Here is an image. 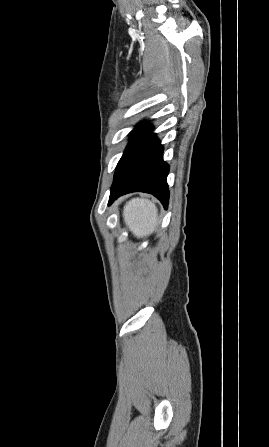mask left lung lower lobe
I'll use <instances>...</instances> for the list:
<instances>
[{"instance_id":"0a47b994","label":"left lung lower lobe","mask_w":269,"mask_h":447,"mask_svg":"<svg viewBox=\"0 0 269 447\" xmlns=\"http://www.w3.org/2000/svg\"><path fill=\"white\" fill-rule=\"evenodd\" d=\"M168 172L169 166L163 161V147L155 135L150 133L131 152L115 175L109 205L121 195L141 191L153 194L167 209Z\"/></svg>"}]
</instances>
